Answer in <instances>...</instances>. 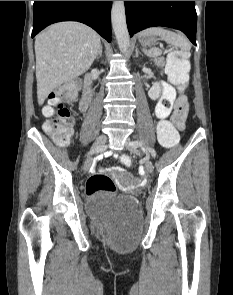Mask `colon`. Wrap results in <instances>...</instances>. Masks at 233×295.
<instances>
[{
	"label": "colon",
	"mask_w": 233,
	"mask_h": 295,
	"mask_svg": "<svg viewBox=\"0 0 233 295\" xmlns=\"http://www.w3.org/2000/svg\"><path fill=\"white\" fill-rule=\"evenodd\" d=\"M188 69L189 61L184 51L176 50L169 55L166 65L167 74L170 80L179 85L182 90L186 86ZM78 88V81H70L52 92L45 102L43 110L45 116L48 117L45 129L54 142L59 145H65L70 141L74 123L63 100L74 96ZM157 135L159 143L165 148H173L179 143L178 132L169 121H160L158 123ZM120 161L127 167L132 164V160L128 155H122ZM115 191V184L106 175L96 173L87 180L86 192L88 195H112Z\"/></svg>",
	"instance_id": "5ec220e1"
}]
</instances>
